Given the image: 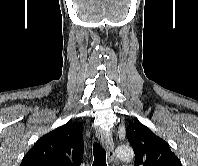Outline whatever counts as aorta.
Segmentation results:
<instances>
[{
  "instance_id": "aorta-1",
  "label": "aorta",
  "mask_w": 198,
  "mask_h": 166,
  "mask_svg": "<svg viewBox=\"0 0 198 166\" xmlns=\"http://www.w3.org/2000/svg\"><path fill=\"white\" fill-rule=\"evenodd\" d=\"M116 156L122 161H131L134 157V152L130 146L121 145L116 148Z\"/></svg>"
}]
</instances>
